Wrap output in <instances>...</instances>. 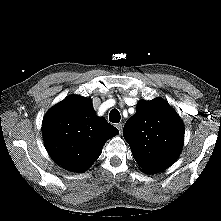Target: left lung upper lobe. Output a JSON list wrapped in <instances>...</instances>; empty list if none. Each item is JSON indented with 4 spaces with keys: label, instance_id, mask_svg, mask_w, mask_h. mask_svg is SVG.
Segmentation results:
<instances>
[{
    "label": "left lung upper lobe",
    "instance_id": "left-lung-upper-lobe-1",
    "mask_svg": "<svg viewBox=\"0 0 221 221\" xmlns=\"http://www.w3.org/2000/svg\"><path fill=\"white\" fill-rule=\"evenodd\" d=\"M184 124L175 110L161 98L140 101L136 113L123 130L124 139L142 171H163L180 155L184 142Z\"/></svg>",
    "mask_w": 221,
    "mask_h": 221
}]
</instances>
